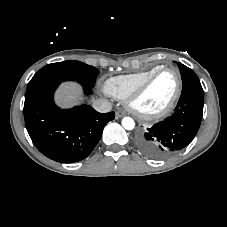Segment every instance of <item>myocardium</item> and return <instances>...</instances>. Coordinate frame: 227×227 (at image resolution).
<instances>
[{"mask_svg":"<svg viewBox=\"0 0 227 227\" xmlns=\"http://www.w3.org/2000/svg\"><path fill=\"white\" fill-rule=\"evenodd\" d=\"M165 71H173L177 76V87L176 91L172 97V99L169 101V103L162 109L155 111V112H145L141 111L137 106V101L141 98V96L146 92V90L149 88V86L152 84V82L163 72ZM182 76L179 70L175 67H169V66H163L156 70L154 73H152L150 76H148L128 97L126 101V105L128 109L134 113L136 116H138L141 119L144 120H157L161 119L165 116H167L175 107L177 104L181 93H182Z\"/></svg>","mask_w":227,"mask_h":227,"instance_id":"obj_1","label":"myocardium"}]
</instances>
